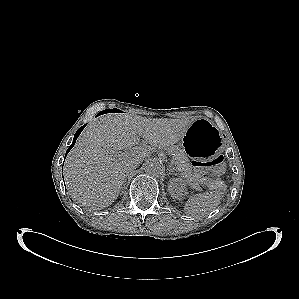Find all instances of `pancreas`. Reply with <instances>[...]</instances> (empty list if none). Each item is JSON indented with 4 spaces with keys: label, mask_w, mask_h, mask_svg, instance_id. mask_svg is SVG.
Returning a JSON list of instances; mask_svg holds the SVG:
<instances>
[{
    "label": "pancreas",
    "mask_w": 299,
    "mask_h": 299,
    "mask_svg": "<svg viewBox=\"0 0 299 299\" xmlns=\"http://www.w3.org/2000/svg\"><path fill=\"white\" fill-rule=\"evenodd\" d=\"M168 152L173 154L174 164L180 175L184 177L193 189L199 190V183L202 182L199 176L194 175L187 155L177 146L168 148Z\"/></svg>",
    "instance_id": "obj_1"
}]
</instances>
